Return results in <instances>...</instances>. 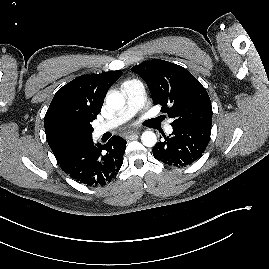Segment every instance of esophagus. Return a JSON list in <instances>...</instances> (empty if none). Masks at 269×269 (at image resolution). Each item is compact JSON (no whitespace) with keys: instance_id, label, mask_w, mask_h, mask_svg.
<instances>
[{"instance_id":"esophagus-1","label":"esophagus","mask_w":269,"mask_h":269,"mask_svg":"<svg viewBox=\"0 0 269 269\" xmlns=\"http://www.w3.org/2000/svg\"><path fill=\"white\" fill-rule=\"evenodd\" d=\"M139 134V132L135 131V132H128L125 134V138L126 139H130V138H133L135 136H137Z\"/></svg>"}]
</instances>
